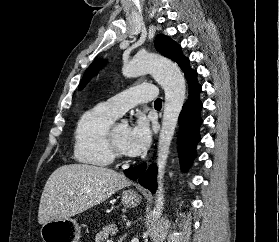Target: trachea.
<instances>
[{
    "instance_id": "obj_1",
    "label": "trachea",
    "mask_w": 279,
    "mask_h": 242,
    "mask_svg": "<svg viewBox=\"0 0 279 242\" xmlns=\"http://www.w3.org/2000/svg\"><path fill=\"white\" fill-rule=\"evenodd\" d=\"M154 106L161 107L162 106V100L160 98L156 99L154 102Z\"/></svg>"
}]
</instances>
